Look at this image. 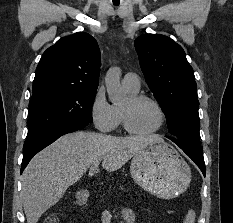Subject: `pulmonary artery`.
<instances>
[{
  "mask_svg": "<svg viewBox=\"0 0 233 223\" xmlns=\"http://www.w3.org/2000/svg\"><path fill=\"white\" fill-rule=\"evenodd\" d=\"M122 86L127 90L138 91L140 88V78L138 74L134 72L125 74L122 80Z\"/></svg>",
  "mask_w": 233,
  "mask_h": 223,
  "instance_id": "e3ab8cb5",
  "label": "pulmonary artery"
}]
</instances>
